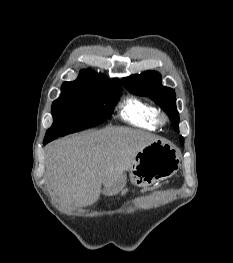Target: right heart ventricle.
I'll use <instances>...</instances> for the list:
<instances>
[{
    "label": "right heart ventricle",
    "mask_w": 233,
    "mask_h": 263,
    "mask_svg": "<svg viewBox=\"0 0 233 263\" xmlns=\"http://www.w3.org/2000/svg\"><path fill=\"white\" fill-rule=\"evenodd\" d=\"M119 115L125 122L146 130L158 129V110L149 102L137 98L127 97L120 105Z\"/></svg>",
    "instance_id": "obj_1"
}]
</instances>
